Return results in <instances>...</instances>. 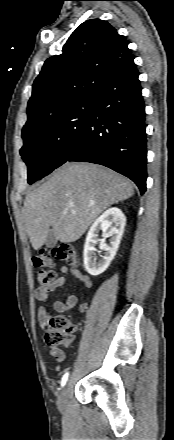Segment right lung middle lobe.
I'll return each mask as SVG.
<instances>
[{
	"mask_svg": "<svg viewBox=\"0 0 174 440\" xmlns=\"http://www.w3.org/2000/svg\"><path fill=\"white\" fill-rule=\"evenodd\" d=\"M91 110L92 98L86 97L22 131L20 154L28 166L29 184L65 163L87 128Z\"/></svg>",
	"mask_w": 174,
	"mask_h": 440,
	"instance_id": "right-lung-middle-lobe-1",
	"label": "right lung middle lobe"
}]
</instances>
